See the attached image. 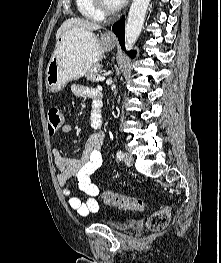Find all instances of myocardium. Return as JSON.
Returning <instances> with one entry per match:
<instances>
[{
    "instance_id": "f54148a6",
    "label": "myocardium",
    "mask_w": 221,
    "mask_h": 263,
    "mask_svg": "<svg viewBox=\"0 0 221 263\" xmlns=\"http://www.w3.org/2000/svg\"><path fill=\"white\" fill-rule=\"evenodd\" d=\"M93 6L104 16L116 14L122 7V4H119L116 7H109L105 4L104 0H91Z\"/></svg>"
}]
</instances>
